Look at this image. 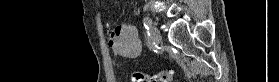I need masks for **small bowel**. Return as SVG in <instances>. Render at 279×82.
Returning a JSON list of instances; mask_svg holds the SVG:
<instances>
[{
  "label": "small bowel",
  "mask_w": 279,
  "mask_h": 82,
  "mask_svg": "<svg viewBox=\"0 0 279 82\" xmlns=\"http://www.w3.org/2000/svg\"><path fill=\"white\" fill-rule=\"evenodd\" d=\"M109 44L116 56L135 58L141 52V42L137 29L133 25H122L113 28L109 34Z\"/></svg>",
  "instance_id": "obj_1"
}]
</instances>
